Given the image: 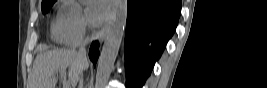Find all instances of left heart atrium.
Masks as SVG:
<instances>
[{
	"label": "left heart atrium",
	"instance_id": "39dd6f15",
	"mask_svg": "<svg viewBox=\"0 0 267 88\" xmlns=\"http://www.w3.org/2000/svg\"><path fill=\"white\" fill-rule=\"evenodd\" d=\"M110 13V2L106 0L90 1L86 11L87 19L93 26H100L105 23Z\"/></svg>",
	"mask_w": 267,
	"mask_h": 88
}]
</instances>
